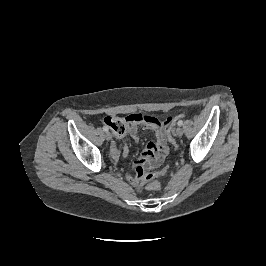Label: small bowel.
Returning <instances> with one entry per match:
<instances>
[{
  "label": "small bowel",
  "instance_id": "c3829d8e",
  "mask_svg": "<svg viewBox=\"0 0 266 266\" xmlns=\"http://www.w3.org/2000/svg\"><path fill=\"white\" fill-rule=\"evenodd\" d=\"M105 123L112 129L117 137L130 135L137 139V127L139 125L151 128L155 131L156 142H148L145 144L140 158L134 166V174L127 175V180L136 187H140V180L143 174L151 169L156 168L163 161L168 153L167 128L174 124L175 118L172 116L162 120L143 114H130L126 117H107ZM114 155H117V150H113ZM128 155V147L124 146L123 156Z\"/></svg>",
  "mask_w": 266,
  "mask_h": 266
}]
</instances>
